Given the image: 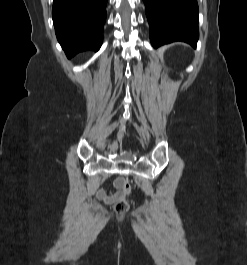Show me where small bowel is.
<instances>
[{"instance_id":"1","label":"small bowel","mask_w":247,"mask_h":265,"mask_svg":"<svg viewBox=\"0 0 247 265\" xmlns=\"http://www.w3.org/2000/svg\"><path fill=\"white\" fill-rule=\"evenodd\" d=\"M121 188V180H117L115 183V191L100 189L97 192V197L106 204H112L122 197L123 192L120 190Z\"/></svg>"}]
</instances>
